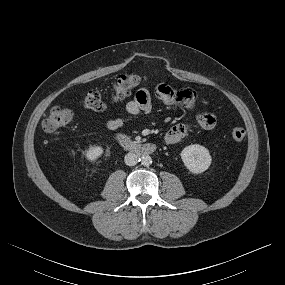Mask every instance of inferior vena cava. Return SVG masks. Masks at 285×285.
I'll return each mask as SVG.
<instances>
[{"label": "inferior vena cava", "instance_id": "obj_1", "mask_svg": "<svg viewBox=\"0 0 285 285\" xmlns=\"http://www.w3.org/2000/svg\"><path fill=\"white\" fill-rule=\"evenodd\" d=\"M125 164L128 166H134L137 164L138 156L134 153H127L124 157Z\"/></svg>", "mask_w": 285, "mask_h": 285}]
</instances>
